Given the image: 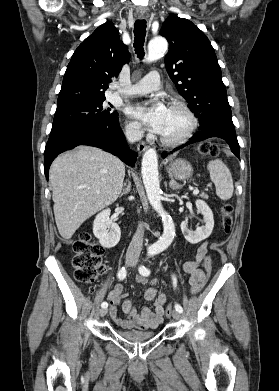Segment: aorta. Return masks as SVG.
Returning a JSON list of instances; mask_svg holds the SVG:
<instances>
[{
    "instance_id": "1",
    "label": "aorta",
    "mask_w": 279,
    "mask_h": 391,
    "mask_svg": "<svg viewBox=\"0 0 279 391\" xmlns=\"http://www.w3.org/2000/svg\"><path fill=\"white\" fill-rule=\"evenodd\" d=\"M168 43L163 37H156L148 44V61L161 58L167 51ZM142 179L151 206L161 216L163 222V234L153 244L152 248L158 252L165 250L172 243L175 235V226L171 216L163 209L158 172V157L156 150L148 149L142 158Z\"/></svg>"
}]
</instances>
